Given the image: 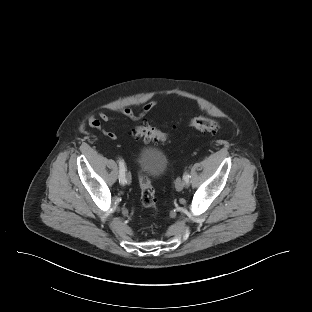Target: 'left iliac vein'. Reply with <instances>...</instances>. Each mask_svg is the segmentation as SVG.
<instances>
[{
    "instance_id": "4c4485c4",
    "label": "left iliac vein",
    "mask_w": 312,
    "mask_h": 312,
    "mask_svg": "<svg viewBox=\"0 0 312 312\" xmlns=\"http://www.w3.org/2000/svg\"><path fill=\"white\" fill-rule=\"evenodd\" d=\"M185 181L178 178L175 183L176 190L181 191L185 187Z\"/></svg>"
}]
</instances>
